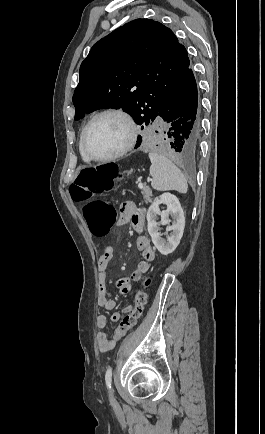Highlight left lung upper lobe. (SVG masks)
<instances>
[{
	"instance_id": "left-lung-upper-lobe-1",
	"label": "left lung upper lobe",
	"mask_w": 265,
	"mask_h": 434,
	"mask_svg": "<svg viewBox=\"0 0 265 434\" xmlns=\"http://www.w3.org/2000/svg\"><path fill=\"white\" fill-rule=\"evenodd\" d=\"M189 65L170 28L150 19L126 23L98 41L82 62L75 120L97 109L122 108L137 124L148 125Z\"/></svg>"
}]
</instances>
